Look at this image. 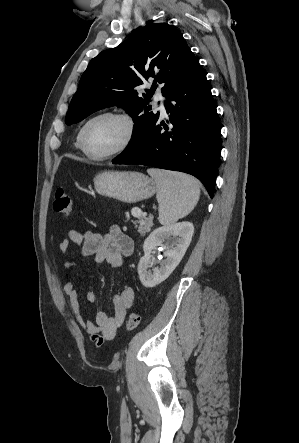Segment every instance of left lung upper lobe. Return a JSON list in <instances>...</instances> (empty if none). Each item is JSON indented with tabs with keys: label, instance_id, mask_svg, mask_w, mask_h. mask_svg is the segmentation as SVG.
I'll return each mask as SVG.
<instances>
[{
	"label": "left lung upper lobe",
	"instance_id": "left-lung-upper-lobe-1",
	"mask_svg": "<svg viewBox=\"0 0 299 443\" xmlns=\"http://www.w3.org/2000/svg\"><path fill=\"white\" fill-rule=\"evenodd\" d=\"M197 63L177 29L166 23L148 24L90 61L65 123H78L95 111L116 105L125 109L135 123L131 145L159 117V112H149L148 105V95L152 96L156 84L163 86L162 94L166 96ZM148 79H154L152 88L146 91L148 95H141L137 88Z\"/></svg>",
	"mask_w": 299,
	"mask_h": 443
}]
</instances>
